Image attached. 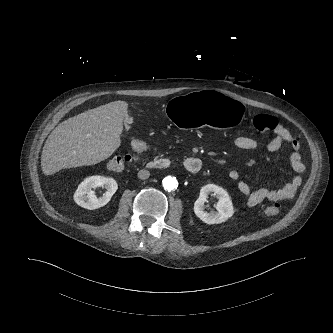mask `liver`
Here are the masks:
<instances>
[{
  "mask_svg": "<svg viewBox=\"0 0 333 333\" xmlns=\"http://www.w3.org/2000/svg\"><path fill=\"white\" fill-rule=\"evenodd\" d=\"M128 103L113 101L60 123L48 136L41 168L52 175L64 168L95 165L120 146Z\"/></svg>",
  "mask_w": 333,
  "mask_h": 333,
  "instance_id": "6515ba94",
  "label": "liver"
}]
</instances>
